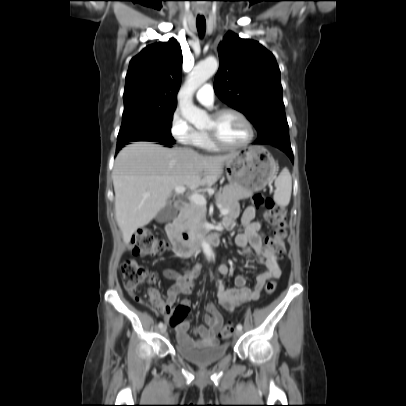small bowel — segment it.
Returning a JSON list of instances; mask_svg holds the SVG:
<instances>
[{
	"label": "small bowel",
	"instance_id": "obj_1",
	"mask_svg": "<svg viewBox=\"0 0 406 406\" xmlns=\"http://www.w3.org/2000/svg\"><path fill=\"white\" fill-rule=\"evenodd\" d=\"M256 214L255 207L249 206L245 209L241 217L243 232L235 237V244L244 254H256L257 262L264 267V270L256 277L253 287L248 285L247 279L243 275L235 278V287H226L223 277L229 275V266L225 261L218 268L216 278V291L220 305L228 312H233L235 308L246 301H256L260 298L261 292L268 281L279 278L281 270L276 262L273 250L266 246L264 236L261 233L262 224L254 221ZM239 215V208L233 205L223 219V225L228 227L233 224ZM199 272V266H195L186 274H179L173 270L165 271V276L175 281L174 285L168 290L166 300H163L157 290H150L149 299L154 309L164 315L165 319L171 324V318L174 314L172 308L180 294L190 295L194 288V279ZM180 306L189 309L190 300L184 299ZM207 314L204 317L206 326H197L194 333L200 337L194 341L187 331L190 322L186 319L171 324L175 330L177 341L187 346H212L218 344L217 333L224 323L222 314L217 310L214 304L208 303L206 306Z\"/></svg>",
	"mask_w": 406,
	"mask_h": 406
}]
</instances>
